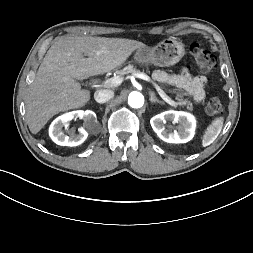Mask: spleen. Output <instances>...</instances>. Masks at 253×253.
Here are the masks:
<instances>
[{
    "mask_svg": "<svg viewBox=\"0 0 253 253\" xmlns=\"http://www.w3.org/2000/svg\"><path fill=\"white\" fill-rule=\"evenodd\" d=\"M224 119L222 117L215 119L206 129L202 137V146L206 147L212 144L220 134Z\"/></svg>",
    "mask_w": 253,
    "mask_h": 253,
    "instance_id": "3e777b00",
    "label": "spleen"
}]
</instances>
